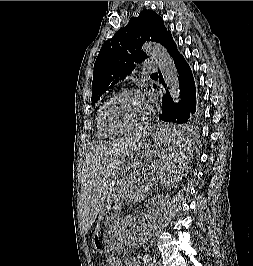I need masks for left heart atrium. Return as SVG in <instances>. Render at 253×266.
Here are the masks:
<instances>
[{"label": "left heart atrium", "instance_id": "left-heart-atrium-1", "mask_svg": "<svg viewBox=\"0 0 253 266\" xmlns=\"http://www.w3.org/2000/svg\"><path fill=\"white\" fill-rule=\"evenodd\" d=\"M145 100L147 102V104L149 105V108H150V111L152 110V107L154 105V102H155V99L152 95H146L145 97Z\"/></svg>", "mask_w": 253, "mask_h": 266}]
</instances>
